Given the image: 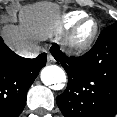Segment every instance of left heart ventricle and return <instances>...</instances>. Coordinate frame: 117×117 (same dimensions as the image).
<instances>
[{
    "label": "left heart ventricle",
    "mask_w": 117,
    "mask_h": 117,
    "mask_svg": "<svg viewBox=\"0 0 117 117\" xmlns=\"http://www.w3.org/2000/svg\"><path fill=\"white\" fill-rule=\"evenodd\" d=\"M93 27V24L91 22L87 23L84 27V31L87 32L89 30H91Z\"/></svg>",
    "instance_id": "b2bd125f"
}]
</instances>
